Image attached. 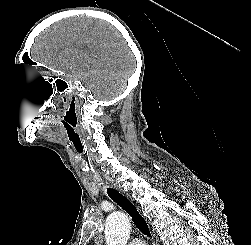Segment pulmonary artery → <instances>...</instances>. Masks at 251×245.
<instances>
[{
    "mask_svg": "<svg viewBox=\"0 0 251 245\" xmlns=\"http://www.w3.org/2000/svg\"><path fill=\"white\" fill-rule=\"evenodd\" d=\"M129 245H146V243L141 239H134L129 243Z\"/></svg>",
    "mask_w": 251,
    "mask_h": 245,
    "instance_id": "e3ab8cb5",
    "label": "pulmonary artery"
}]
</instances>
